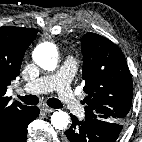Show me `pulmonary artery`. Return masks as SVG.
Segmentation results:
<instances>
[{"mask_svg": "<svg viewBox=\"0 0 142 142\" xmlns=\"http://www.w3.org/2000/svg\"><path fill=\"white\" fill-rule=\"evenodd\" d=\"M76 66L75 59L68 56L56 74L30 81L23 86V90L32 94L56 91L70 113L81 115L83 106L70 87Z\"/></svg>", "mask_w": 142, "mask_h": 142, "instance_id": "e3ab8cb5", "label": "pulmonary artery"}]
</instances>
